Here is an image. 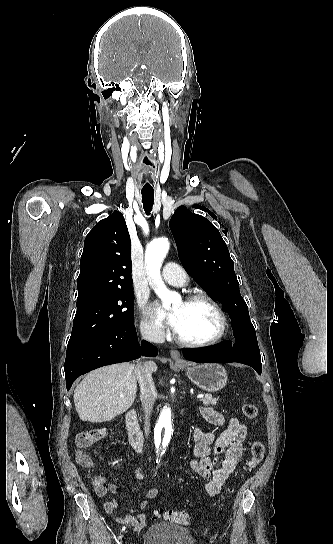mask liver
<instances>
[{"mask_svg":"<svg viewBox=\"0 0 333 544\" xmlns=\"http://www.w3.org/2000/svg\"><path fill=\"white\" fill-rule=\"evenodd\" d=\"M148 367L151 373L157 371L153 361L148 362ZM136 392L134 366L114 364L88 373L74 391V404L82 421L106 422L127 411Z\"/></svg>","mask_w":333,"mask_h":544,"instance_id":"obj_1","label":"liver"}]
</instances>
